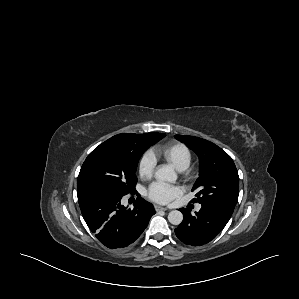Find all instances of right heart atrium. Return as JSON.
I'll use <instances>...</instances> for the list:
<instances>
[{"label": "right heart atrium", "mask_w": 299, "mask_h": 299, "mask_svg": "<svg viewBox=\"0 0 299 299\" xmlns=\"http://www.w3.org/2000/svg\"><path fill=\"white\" fill-rule=\"evenodd\" d=\"M156 168V158L150 151L145 152L138 164V173L142 179H150Z\"/></svg>", "instance_id": "d8ad5b80"}]
</instances>
